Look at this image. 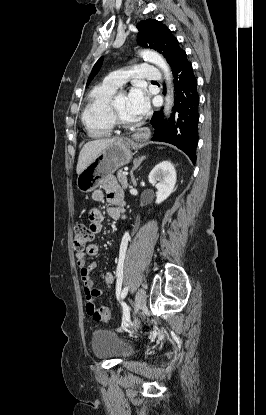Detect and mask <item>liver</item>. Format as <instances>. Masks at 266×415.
Returning <instances> with one entry per match:
<instances>
[{"instance_id": "obj_1", "label": "liver", "mask_w": 266, "mask_h": 415, "mask_svg": "<svg viewBox=\"0 0 266 415\" xmlns=\"http://www.w3.org/2000/svg\"><path fill=\"white\" fill-rule=\"evenodd\" d=\"M120 138L98 139L87 142L80 151L76 172L79 175L108 145Z\"/></svg>"}]
</instances>
